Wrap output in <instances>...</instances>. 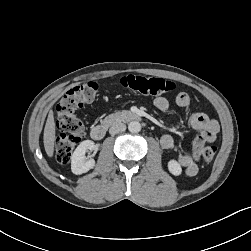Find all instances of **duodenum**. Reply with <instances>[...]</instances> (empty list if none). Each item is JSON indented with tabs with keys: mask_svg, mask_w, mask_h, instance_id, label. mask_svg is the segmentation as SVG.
<instances>
[{
	"mask_svg": "<svg viewBox=\"0 0 251 251\" xmlns=\"http://www.w3.org/2000/svg\"><path fill=\"white\" fill-rule=\"evenodd\" d=\"M141 117L134 112L131 111H122L118 115H116L114 118H112L108 124H101L96 125L92 127L90 131V135L92 139L94 140H101L106 135V131L109 125L118 123V122H134L139 121Z\"/></svg>",
	"mask_w": 251,
	"mask_h": 251,
	"instance_id": "obj_1",
	"label": "duodenum"
}]
</instances>
